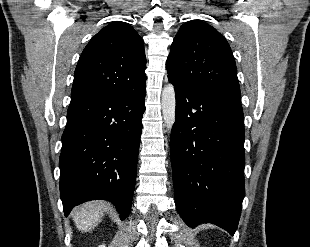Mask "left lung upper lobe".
Returning <instances> with one entry per match:
<instances>
[{"mask_svg": "<svg viewBox=\"0 0 310 247\" xmlns=\"http://www.w3.org/2000/svg\"><path fill=\"white\" fill-rule=\"evenodd\" d=\"M168 77L183 85L240 101V86L231 48L212 26L184 23L170 48Z\"/></svg>", "mask_w": 310, "mask_h": 247, "instance_id": "5c2ea615", "label": "left lung upper lobe"}]
</instances>
